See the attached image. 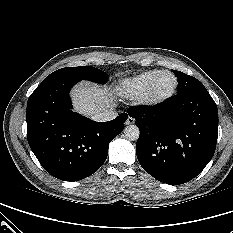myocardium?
I'll use <instances>...</instances> for the list:
<instances>
[{
  "label": "myocardium",
  "instance_id": "1",
  "mask_svg": "<svg viewBox=\"0 0 233 233\" xmlns=\"http://www.w3.org/2000/svg\"><path fill=\"white\" fill-rule=\"evenodd\" d=\"M164 74H169L173 77L174 86L167 94L160 96V97H155L152 95V88L155 82L158 80V78ZM178 87H179V80H178V77L175 75V73L170 70H162L149 82L146 89L140 96V102L143 105L148 106V107L160 106L175 96V94L178 91Z\"/></svg>",
  "mask_w": 233,
  "mask_h": 233
}]
</instances>
